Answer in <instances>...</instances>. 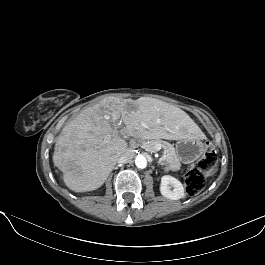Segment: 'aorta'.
<instances>
[{
    "label": "aorta",
    "mask_w": 265,
    "mask_h": 265,
    "mask_svg": "<svg viewBox=\"0 0 265 265\" xmlns=\"http://www.w3.org/2000/svg\"><path fill=\"white\" fill-rule=\"evenodd\" d=\"M135 165L139 169L146 168L147 167V159H146V157L144 155H142V154H138L135 157Z\"/></svg>",
    "instance_id": "762f6f07"
}]
</instances>
